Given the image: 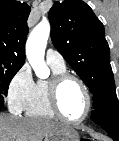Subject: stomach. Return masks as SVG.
Instances as JSON below:
<instances>
[{
    "instance_id": "obj_1",
    "label": "stomach",
    "mask_w": 119,
    "mask_h": 141,
    "mask_svg": "<svg viewBox=\"0 0 119 141\" xmlns=\"http://www.w3.org/2000/svg\"><path fill=\"white\" fill-rule=\"evenodd\" d=\"M45 141H80L77 131L64 126L45 137Z\"/></svg>"
}]
</instances>
